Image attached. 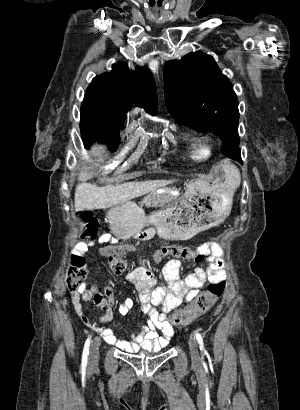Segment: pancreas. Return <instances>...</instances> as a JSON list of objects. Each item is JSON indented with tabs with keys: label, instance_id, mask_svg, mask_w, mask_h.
Returning a JSON list of instances; mask_svg holds the SVG:
<instances>
[{
	"label": "pancreas",
	"instance_id": "obj_1",
	"mask_svg": "<svg viewBox=\"0 0 300 410\" xmlns=\"http://www.w3.org/2000/svg\"><path fill=\"white\" fill-rule=\"evenodd\" d=\"M176 199V196L170 194V193H161L157 194L156 197L150 199L147 197L144 198L142 201V204H145L149 207L153 206H159V207H164L167 204L173 202Z\"/></svg>",
	"mask_w": 300,
	"mask_h": 410
}]
</instances>
